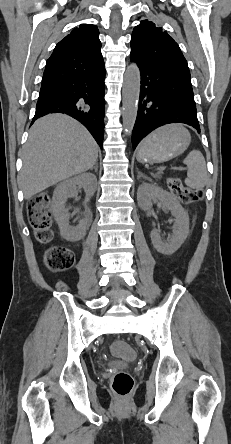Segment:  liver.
<instances>
[{"label": "liver", "instance_id": "1", "mask_svg": "<svg viewBox=\"0 0 231 444\" xmlns=\"http://www.w3.org/2000/svg\"><path fill=\"white\" fill-rule=\"evenodd\" d=\"M97 158L96 141L78 121L60 113L40 118L22 152L19 184L25 199L91 169Z\"/></svg>", "mask_w": 231, "mask_h": 444}]
</instances>
